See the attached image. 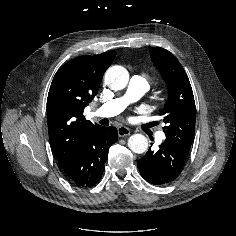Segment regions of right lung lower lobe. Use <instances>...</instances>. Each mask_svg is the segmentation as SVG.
<instances>
[{
  "label": "right lung lower lobe",
  "instance_id": "obj_1",
  "mask_svg": "<svg viewBox=\"0 0 236 236\" xmlns=\"http://www.w3.org/2000/svg\"><path fill=\"white\" fill-rule=\"evenodd\" d=\"M118 139L115 127L99 126L90 132L75 162L64 172L78 187H92L101 178L109 147Z\"/></svg>",
  "mask_w": 236,
  "mask_h": 236
}]
</instances>
